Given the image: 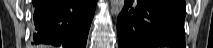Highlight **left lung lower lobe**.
<instances>
[{"label":"left lung lower lobe","instance_id":"obj_1","mask_svg":"<svg viewBox=\"0 0 213 48\" xmlns=\"http://www.w3.org/2000/svg\"><path fill=\"white\" fill-rule=\"evenodd\" d=\"M185 0H125L117 20L118 48H185Z\"/></svg>","mask_w":213,"mask_h":48}]
</instances>
